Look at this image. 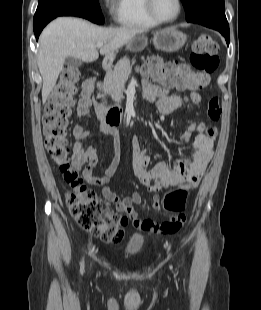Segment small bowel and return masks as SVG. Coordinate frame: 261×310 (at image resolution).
Listing matches in <instances>:
<instances>
[{
    "instance_id": "c3829d8e",
    "label": "small bowel",
    "mask_w": 261,
    "mask_h": 310,
    "mask_svg": "<svg viewBox=\"0 0 261 310\" xmlns=\"http://www.w3.org/2000/svg\"><path fill=\"white\" fill-rule=\"evenodd\" d=\"M94 89V81L87 80L82 84L80 99L78 101L77 114L82 118H89L91 107V94ZM144 95L148 99H157V107L163 114L173 112L182 106L184 102L199 104L201 96L193 91L186 97L170 95L166 88L159 85L143 82ZM202 123H190L182 134V139L190 141L194 132L193 154L185 159H180L172 165L164 162L156 164L148 169L151 155L147 146L140 144L137 138L132 139V167L139 181L150 193H157L164 188L176 186L180 183L189 182L198 185L205 168L214 152V137H209L199 129ZM102 133L111 138L110 162L104 170V174L97 177L93 174V167L98 162L96 147L87 145L91 136V130L84 125H78L73 130L75 143L73 145L72 167L76 171H82L83 178L90 184L102 186L104 198L113 203L116 213H125L134 227L147 231L143 224L152 220L140 219L134 209V205L141 203V195L134 192L132 195L121 198L109 187V181L114 174L120 159V141L117 132L106 125H101ZM153 208L159 209L158 198L154 197ZM114 213V212H110Z\"/></svg>"
}]
</instances>
